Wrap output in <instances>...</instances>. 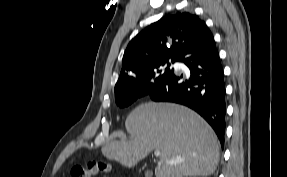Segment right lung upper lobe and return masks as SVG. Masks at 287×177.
<instances>
[{
	"instance_id": "obj_1",
	"label": "right lung upper lobe",
	"mask_w": 287,
	"mask_h": 177,
	"mask_svg": "<svg viewBox=\"0 0 287 177\" xmlns=\"http://www.w3.org/2000/svg\"><path fill=\"white\" fill-rule=\"evenodd\" d=\"M208 27L196 15L177 13L161 18L127 46L115 87L138 84L145 72L163 60H178L184 48Z\"/></svg>"
}]
</instances>
